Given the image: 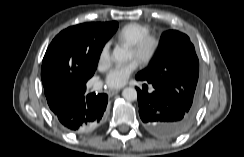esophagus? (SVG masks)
Instances as JSON below:
<instances>
[{"mask_svg": "<svg viewBox=\"0 0 244 157\" xmlns=\"http://www.w3.org/2000/svg\"><path fill=\"white\" fill-rule=\"evenodd\" d=\"M121 89H114V90H110L108 93L110 96H114L116 95L117 93L120 92Z\"/></svg>", "mask_w": 244, "mask_h": 157, "instance_id": "esophagus-1", "label": "esophagus"}]
</instances>
